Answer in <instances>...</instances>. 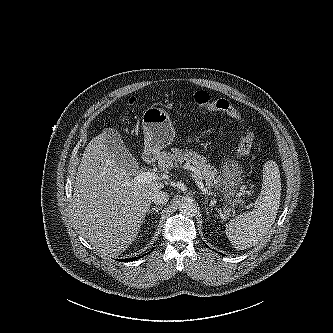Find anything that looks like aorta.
I'll list each match as a JSON object with an SVG mask.
<instances>
[{"mask_svg":"<svg viewBox=\"0 0 333 333\" xmlns=\"http://www.w3.org/2000/svg\"><path fill=\"white\" fill-rule=\"evenodd\" d=\"M180 213L185 217H194L197 213V207L192 202H184L179 207Z\"/></svg>","mask_w":333,"mask_h":333,"instance_id":"762f6f07","label":"aorta"}]
</instances>
